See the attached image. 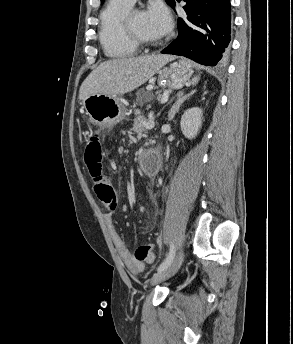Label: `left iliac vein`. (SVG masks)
Wrapping results in <instances>:
<instances>
[{
	"instance_id": "left-iliac-vein-1",
	"label": "left iliac vein",
	"mask_w": 293,
	"mask_h": 344,
	"mask_svg": "<svg viewBox=\"0 0 293 344\" xmlns=\"http://www.w3.org/2000/svg\"><path fill=\"white\" fill-rule=\"evenodd\" d=\"M183 257V251H180L175 260L167 268L158 271L152 276L150 284L152 286L157 285L175 275L183 262Z\"/></svg>"
}]
</instances>
